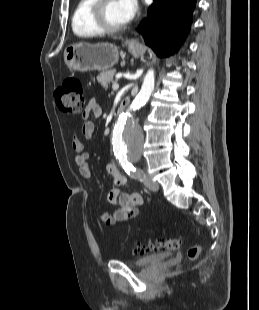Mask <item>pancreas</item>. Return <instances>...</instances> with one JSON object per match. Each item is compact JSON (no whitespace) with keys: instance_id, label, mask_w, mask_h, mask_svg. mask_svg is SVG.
Returning a JSON list of instances; mask_svg holds the SVG:
<instances>
[{"instance_id":"pancreas-1","label":"pancreas","mask_w":259,"mask_h":310,"mask_svg":"<svg viewBox=\"0 0 259 310\" xmlns=\"http://www.w3.org/2000/svg\"><path fill=\"white\" fill-rule=\"evenodd\" d=\"M115 70L105 71L97 76V81L102 87L108 88V84L113 81Z\"/></svg>"}]
</instances>
